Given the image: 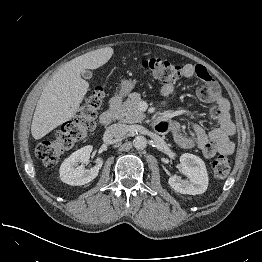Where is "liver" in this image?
Segmentation results:
<instances>
[{"mask_svg":"<svg viewBox=\"0 0 262 262\" xmlns=\"http://www.w3.org/2000/svg\"><path fill=\"white\" fill-rule=\"evenodd\" d=\"M114 51L111 47L83 54L59 69L44 87L38 100L31 133L38 140L62 123L73 118L89 89L81 78L85 69H97L106 64Z\"/></svg>","mask_w":262,"mask_h":262,"instance_id":"6515ba94","label":"liver"}]
</instances>
